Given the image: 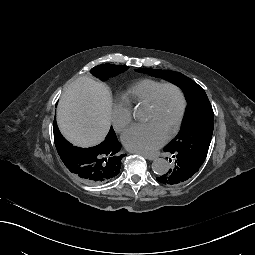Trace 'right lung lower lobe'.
I'll use <instances>...</instances> for the list:
<instances>
[{
	"instance_id": "obj_1",
	"label": "right lung lower lobe",
	"mask_w": 255,
	"mask_h": 255,
	"mask_svg": "<svg viewBox=\"0 0 255 255\" xmlns=\"http://www.w3.org/2000/svg\"><path fill=\"white\" fill-rule=\"evenodd\" d=\"M79 164L81 173L85 177H98L100 175V154L98 152H89L81 150L79 152Z\"/></svg>"
}]
</instances>
